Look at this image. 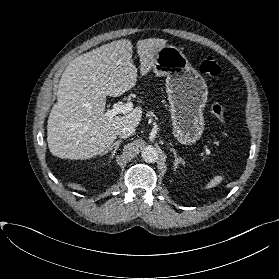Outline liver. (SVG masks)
<instances>
[{
	"label": "liver",
	"mask_w": 279,
	"mask_h": 279,
	"mask_svg": "<svg viewBox=\"0 0 279 279\" xmlns=\"http://www.w3.org/2000/svg\"><path fill=\"white\" fill-rule=\"evenodd\" d=\"M166 42L159 38L137 42L142 75L153 68L156 52ZM132 53L131 42L121 39L76 57L66 67L47 125V143L54 156L88 159L102 155L124 126L139 125L140 107L124 115H105L106 97L120 96L137 82Z\"/></svg>",
	"instance_id": "liver-1"
}]
</instances>
